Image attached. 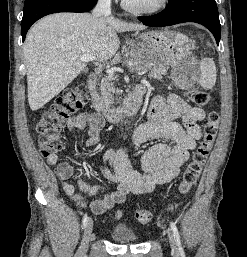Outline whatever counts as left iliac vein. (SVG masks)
Masks as SVG:
<instances>
[{"label": "left iliac vein", "mask_w": 247, "mask_h": 257, "mask_svg": "<svg viewBox=\"0 0 247 257\" xmlns=\"http://www.w3.org/2000/svg\"><path fill=\"white\" fill-rule=\"evenodd\" d=\"M167 235H168V240H169V244H170L171 248L175 252H177L176 242H175V238H174L173 234L170 231H167Z\"/></svg>", "instance_id": "1"}]
</instances>
